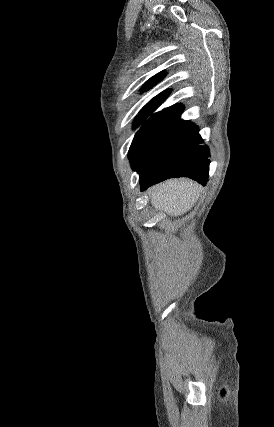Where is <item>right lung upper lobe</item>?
Here are the masks:
<instances>
[{
  "label": "right lung upper lobe",
  "mask_w": 274,
  "mask_h": 427,
  "mask_svg": "<svg viewBox=\"0 0 274 427\" xmlns=\"http://www.w3.org/2000/svg\"><path fill=\"white\" fill-rule=\"evenodd\" d=\"M165 72L162 71L158 74H156L155 76H153L152 78H150L144 85V89L148 90L149 87L154 86L156 83L160 82L164 77H165ZM170 91H164L162 93H160L159 95H157L156 97H154L150 102H159L162 103L166 97L169 95ZM149 102V103H150Z\"/></svg>",
  "instance_id": "obj_1"
}]
</instances>
